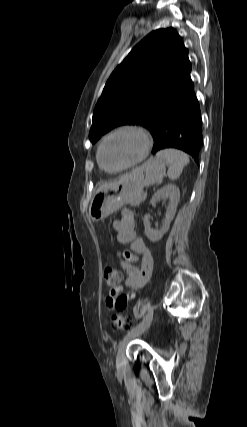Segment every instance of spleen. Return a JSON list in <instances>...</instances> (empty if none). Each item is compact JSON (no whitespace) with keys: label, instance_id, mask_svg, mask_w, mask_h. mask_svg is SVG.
<instances>
[{"label":"spleen","instance_id":"3e777b00","mask_svg":"<svg viewBox=\"0 0 247 427\" xmlns=\"http://www.w3.org/2000/svg\"><path fill=\"white\" fill-rule=\"evenodd\" d=\"M157 158L164 159L169 165L168 177L170 180L179 178L184 166L189 164V157L186 153L177 149H164L157 153Z\"/></svg>","mask_w":247,"mask_h":427}]
</instances>
